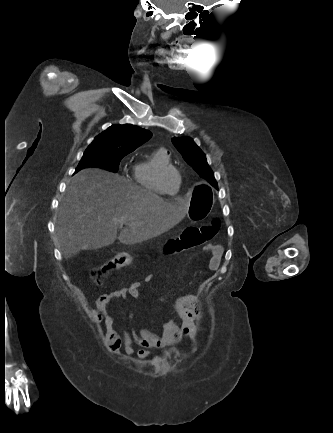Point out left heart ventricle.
Listing matches in <instances>:
<instances>
[{
    "label": "left heart ventricle",
    "mask_w": 333,
    "mask_h": 433,
    "mask_svg": "<svg viewBox=\"0 0 333 433\" xmlns=\"http://www.w3.org/2000/svg\"><path fill=\"white\" fill-rule=\"evenodd\" d=\"M178 186V177L176 173L170 171L164 177V187L169 193H175Z\"/></svg>",
    "instance_id": "left-heart-ventricle-1"
}]
</instances>
